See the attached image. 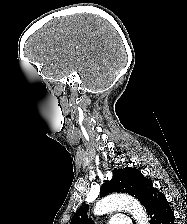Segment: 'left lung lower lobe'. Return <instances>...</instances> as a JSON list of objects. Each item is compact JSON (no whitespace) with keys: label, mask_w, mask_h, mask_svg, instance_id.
Listing matches in <instances>:
<instances>
[{"label":"left lung lower lobe","mask_w":187,"mask_h":224,"mask_svg":"<svg viewBox=\"0 0 187 224\" xmlns=\"http://www.w3.org/2000/svg\"><path fill=\"white\" fill-rule=\"evenodd\" d=\"M146 211L150 224H174V213L166 197L159 190H155L146 206Z\"/></svg>","instance_id":"obj_1"}]
</instances>
